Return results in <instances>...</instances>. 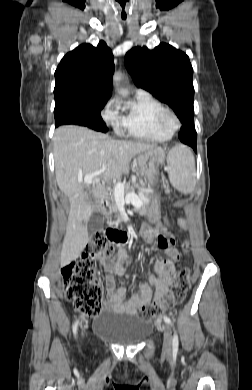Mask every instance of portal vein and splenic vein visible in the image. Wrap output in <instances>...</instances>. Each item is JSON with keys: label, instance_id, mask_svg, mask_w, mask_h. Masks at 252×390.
Wrapping results in <instances>:
<instances>
[{"label": "portal vein and splenic vein", "instance_id": "18ae733b", "mask_svg": "<svg viewBox=\"0 0 252 390\" xmlns=\"http://www.w3.org/2000/svg\"><path fill=\"white\" fill-rule=\"evenodd\" d=\"M106 168H102L100 171L86 175L84 178H79V182H84L87 185L95 184L100 182V178L98 176L105 170ZM114 194L116 196V199L119 203L125 204V203H131L135 207H141L142 201L139 198L138 195H136L134 192L128 193L124 198V184L118 183L115 186Z\"/></svg>", "mask_w": 252, "mask_h": 390}]
</instances>
